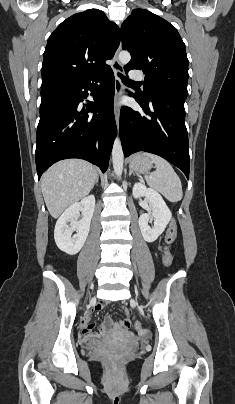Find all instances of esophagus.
Masks as SVG:
<instances>
[{
	"mask_svg": "<svg viewBox=\"0 0 235 404\" xmlns=\"http://www.w3.org/2000/svg\"><path fill=\"white\" fill-rule=\"evenodd\" d=\"M121 50V43L119 44V47L114 55V63L112 65V69L114 72V76H115V95H114V114H115V120H116V124L117 126L119 125V118H120V96L122 93V89H123V84L122 81L119 77V73L123 72V66L119 61L118 55L119 52Z\"/></svg>",
	"mask_w": 235,
	"mask_h": 404,
	"instance_id": "obj_1",
	"label": "esophagus"
}]
</instances>
